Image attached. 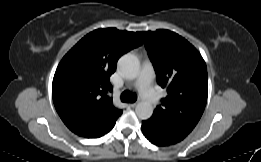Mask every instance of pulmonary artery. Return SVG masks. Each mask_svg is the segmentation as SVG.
<instances>
[{
  "label": "pulmonary artery",
  "mask_w": 261,
  "mask_h": 162,
  "mask_svg": "<svg viewBox=\"0 0 261 162\" xmlns=\"http://www.w3.org/2000/svg\"><path fill=\"white\" fill-rule=\"evenodd\" d=\"M154 70L149 61L143 63L142 69L134 82V87L138 90L140 96L149 103L159 101L157 92L151 87Z\"/></svg>",
  "instance_id": "1"
}]
</instances>
